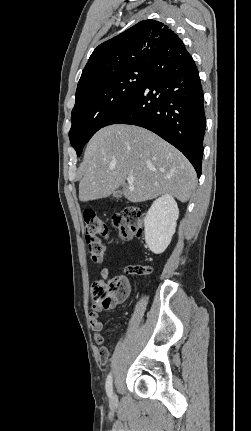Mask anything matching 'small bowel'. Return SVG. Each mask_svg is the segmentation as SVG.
I'll return each mask as SVG.
<instances>
[{"label":"small bowel","instance_id":"obj_1","mask_svg":"<svg viewBox=\"0 0 251 431\" xmlns=\"http://www.w3.org/2000/svg\"><path fill=\"white\" fill-rule=\"evenodd\" d=\"M145 271L143 274L150 273L151 269L149 267H144ZM101 277L104 280H107L110 274V270L108 268H103L100 272ZM102 307L94 305L92 311L90 312V325L94 332V341L99 346V350L97 352V357L100 360L98 366L101 369H104L107 366L106 362H109L110 355L109 352L111 348L108 345L103 347V336L101 334L103 330V323L99 319V313L102 311Z\"/></svg>","mask_w":251,"mask_h":431}]
</instances>
